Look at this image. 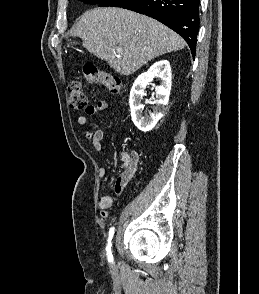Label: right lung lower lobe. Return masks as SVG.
<instances>
[{
  "mask_svg": "<svg viewBox=\"0 0 259 294\" xmlns=\"http://www.w3.org/2000/svg\"><path fill=\"white\" fill-rule=\"evenodd\" d=\"M121 7L157 19L177 32L194 57L200 22L199 0H129Z\"/></svg>",
  "mask_w": 259,
  "mask_h": 294,
  "instance_id": "98d812e1",
  "label": "right lung lower lobe"
}]
</instances>
